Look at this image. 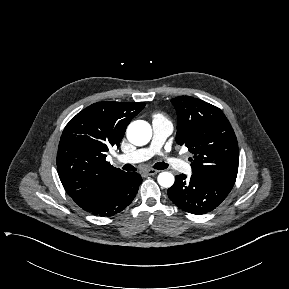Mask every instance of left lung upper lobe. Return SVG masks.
Returning a JSON list of instances; mask_svg holds the SVG:
<instances>
[{
  "label": "left lung upper lobe",
  "mask_w": 289,
  "mask_h": 289,
  "mask_svg": "<svg viewBox=\"0 0 289 289\" xmlns=\"http://www.w3.org/2000/svg\"><path fill=\"white\" fill-rule=\"evenodd\" d=\"M177 111L176 142L193 154V174L233 187L239 150L235 133L224 113L203 100L180 96L171 100Z\"/></svg>",
  "instance_id": "left-lung-upper-lobe-1"
}]
</instances>
